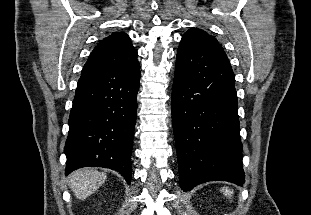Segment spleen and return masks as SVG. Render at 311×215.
<instances>
[{
	"mask_svg": "<svg viewBox=\"0 0 311 215\" xmlns=\"http://www.w3.org/2000/svg\"><path fill=\"white\" fill-rule=\"evenodd\" d=\"M222 192L226 195V196H231L233 194V191L228 189V188H222Z\"/></svg>",
	"mask_w": 311,
	"mask_h": 215,
	"instance_id": "obj_1",
	"label": "spleen"
}]
</instances>
